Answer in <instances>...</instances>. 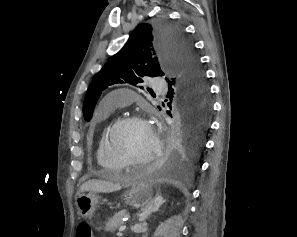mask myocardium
Masks as SVG:
<instances>
[{
	"instance_id": "f54148a6",
	"label": "myocardium",
	"mask_w": 297,
	"mask_h": 237,
	"mask_svg": "<svg viewBox=\"0 0 297 237\" xmlns=\"http://www.w3.org/2000/svg\"><path fill=\"white\" fill-rule=\"evenodd\" d=\"M130 123H143L149 126L154 137V148L149 156L142 160H132L124 155L116 144V135L118 131ZM108 148L111 154L125 167V166H145L155 162L162 153L161 140L158 132L150 124V122L141 115H128L121 117L115 121L107 136Z\"/></svg>"
}]
</instances>
